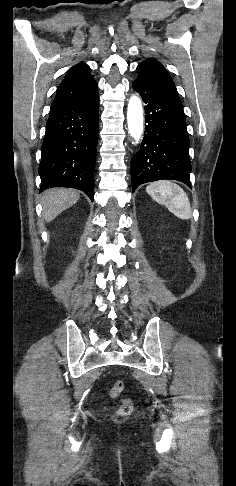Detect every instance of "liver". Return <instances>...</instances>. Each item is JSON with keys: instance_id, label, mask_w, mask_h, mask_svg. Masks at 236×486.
<instances>
[{"instance_id": "1", "label": "liver", "mask_w": 236, "mask_h": 486, "mask_svg": "<svg viewBox=\"0 0 236 486\" xmlns=\"http://www.w3.org/2000/svg\"><path fill=\"white\" fill-rule=\"evenodd\" d=\"M79 197V193L71 189L53 188L45 191L42 196L45 221L51 222L62 211L74 205Z\"/></svg>"}]
</instances>
